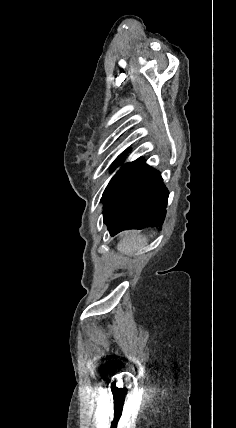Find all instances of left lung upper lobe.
<instances>
[{"instance_id":"left-lung-upper-lobe-1","label":"left lung upper lobe","mask_w":236,"mask_h":428,"mask_svg":"<svg viewBox=\"0 0 236 428\" xmlns=\"http://www.w3.org/2000/svg\"><path fill=\"white\" fill-rule=\"evenodd\" d=\"M124 161L123 159V155H120L112 164L111 168L114 169L116 168L118 165H120L122 162ZM133 162L131 163H127L125 165H123L118 171L117 173L113 176V178L111 179V181L109 182L108 186L106 187L105 191H110L115 185L116 183L120 180V178L124 175V173L127 171V169L131 166ZM104 191V192H105Z\"/></svg>"}]
</instances>
